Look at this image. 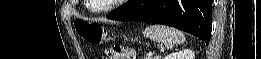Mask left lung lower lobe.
<instances>
[{
    "label": "left lung lower lobe",
    "instance_id": "left-lung-lower-lobe-1",
    "mask_svg": "<svg viewBox=\"0 0 261 59\" xmlns=\"http://www.w3.org/2000/svg\"><path fill=\"white\" fill-rule=\"evenodd\" d=\"M212 0H129L107 15L119 21L164 24L193 34L208 44Z\"/></svg>",
    "mask_w": 261,
    "mask_h": 59
}]
</instances>
